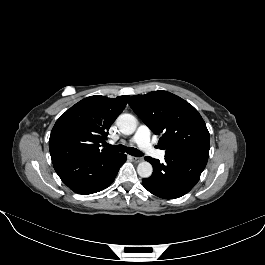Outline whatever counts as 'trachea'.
Masks as SVG:
<instances>
[{"label": "trachea", "mask_w": 265, "mask_h": 265, "mask_svg": "<svg viewBox=\"0 0 265 265\" xmlns=\"http://www.w3.org/2000/svg\"><path fill=\"white\" fill-rule=\"evenodd\" d=\"M106 148L112 150V151H115V152H126L132 156H135V157H141L143 156V153L139 150H137L136 148H127L126 146L124 145H118V146H113V145H110V144H105L104 145Z\"/></svg>", "instance_id": "3493384b"}]
</instances>
